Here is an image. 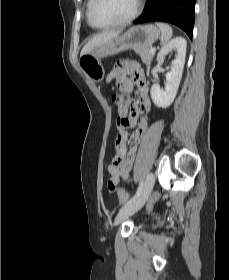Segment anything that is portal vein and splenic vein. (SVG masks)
Wrapping results in <instances>:
<instances>
[{"label": "portal vein and splenic vein", "mask_w": 229, "mask_h": 280, "mask_svg": "<svg viewBox=\"0 0 229 280\" xmlns=\"http://www.w3.org/2000/svg\"><path fill=\"white\" fill-rule=\"evenodd\" d=\"M155 51H156L155 48H151V49H150V52H151V53H155Z\"/></svg>", "instance_id": "18ae733b"}]
</instances>
